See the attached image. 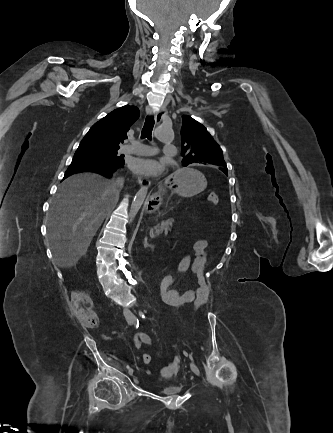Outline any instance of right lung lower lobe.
Returning <instances> with one entry per match:
<instances>
[{
    "label": "right lung lower lobe",
    "mask_w": 333,
    "mask_h": 433,
    "mask_svg": "<svg viewBox=\"0 0 333 433\" xmlns=\"http://www.w3.org/2000/svg\"><path fill=\"white\" fill-rule=\"evenodd\" d=\"M124 159L120 158L118 161H104L92 158H73L70 166L68 167L64 178L83 171H93L105 177H112L113 173L121 170L124 167Z\"/></svg>",
    "instance_id": "1"
}]
</instances>
